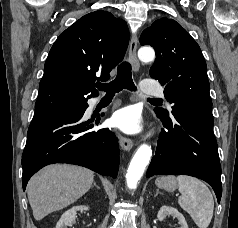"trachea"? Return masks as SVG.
<instances>
[{"label": "trachea", "instance_id": "1", "mask_svg": "<svg viewBox=\"0 0 238 228\" xmlns=\"http://www.w3.org/2000/svg\"><path fill=\"white\" fill-rule=\"evenodd\" d=\"M96 87L101 91H105L107 95H114L122 89L135 91L136 87L132 80L131 65L128 62L121 63L118 66L117 76L112 82L97 84ZM151 100L158 99L152 98Z\"/></svg>", "mask_w": 238, "mask_h": 228}]
</instances>
